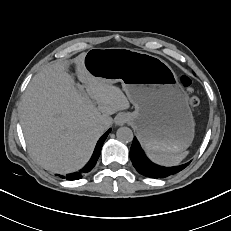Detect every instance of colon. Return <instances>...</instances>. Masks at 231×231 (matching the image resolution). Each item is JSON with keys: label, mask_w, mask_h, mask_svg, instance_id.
Listing matches in <instances>:
<instances>
[{"label": "colon", "mask_w": 231, "mask_h": 231, "mask_svg": "<svg viewBox=\"0 0 231 231\" xmlns=\"http://www.w3.org/2000/svg\"><path fill=\"white\" fill-rule=\"evenodd\" d=\"M181 82L189 91H191V81L187 76H183ZM189 102L192 106H197L200 103V99L198 96L191 94Z\"/></svg>", "instance_id": "obj_1"}]
</instances>
